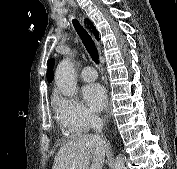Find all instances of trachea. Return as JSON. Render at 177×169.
Masks as SVG:
<instances>
[{"label": "trachea", "instance_id": "obj_1", "mask_svg": "<svg viewBox=\"0 0 177 169\" xmlns=\"http://www.w3.org/2000/svg\"><path fill=\"white\" fill-rule=\"evenodd\" d=\"M73 26L75 30L77 31L78 35L80 36L82 43L84 44L86 50L90 54L92 60L95 62V64L99 63V55L98 51L95 47L94 41L92 40L91 36L88 34V32L80 25V23L73 19Z\"/></svg>", "mask_w": 177, "mask_h": 169}]
</instances>
